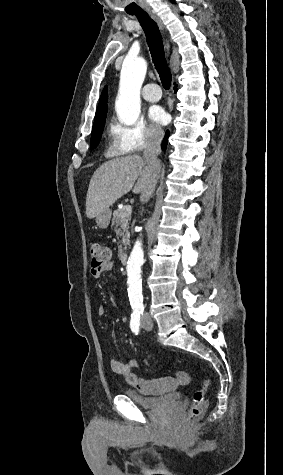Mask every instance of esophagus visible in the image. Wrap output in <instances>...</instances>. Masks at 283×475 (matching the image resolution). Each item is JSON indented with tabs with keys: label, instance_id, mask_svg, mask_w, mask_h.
Returning <instances> with one entry per match:
<instances>
[{
	"label": "esophagus",
	"instance_id": "1",
	"mask_svg": "<svg viewBox=\"0 0 283 475\" xmlns=\"http://www.w3.org/2000/svg\"><path fill=\"white\" fill-rule=\"evenodd\" d=\"M148 13H149L150 17L153 18V20L157 23L158 27H160L161 29H163V23H162L161 19H160L157 15H155L154 13H152L151 11H148ZM165 46H166L167 50L169 51V49H170V44H169V42H168L167 40H166V42H165Z\"/></svg>",
	"mask_w": 283,
	"mask_h": 475
}]
</instances>
